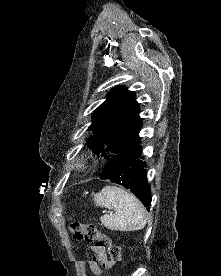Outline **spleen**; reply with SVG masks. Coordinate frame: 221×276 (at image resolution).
<instances>
[{"label":"spleen","instance_id":"spleen-1","mask_svg":"<svg viewBox=\"0 0 221 276\" xmlns=\"http://www.w3.org/2000/svg\"><path fill=\"white\" fill-rule=\"evenodd\" d=\"M96 206L111 207L115 213L100 217L101 223L112 231H137L146 225L142 203L131 193L115 186H105L95 194Z\"/></svg>","mask_w":221,"mask_h":276}]
</instances>
